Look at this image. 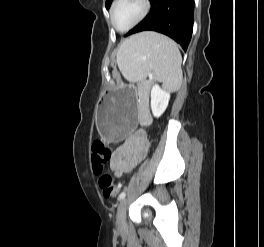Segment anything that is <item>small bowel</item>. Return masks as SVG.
Instances as JSON below:
<instances>
[{
	"mask_svg": "<svg viewBox=\"0 0 264 247\" xmlns=\"http://www.w3.org/2000/svg\"><path fill=\"white\" fill-rule=\"evenodd\" d=\"M140 122L147 125L151 117L146 111L140 113ZM149 148V139L143 130L136 131L127 137L113 152L110 162L111 169L117 177L132 171L146 156Z\"/></svg>",
	"mask_w": 264,
	"mask_h": 247,
	"instance_id": "1",
	"label": "small bowel"
}]
</instances>
